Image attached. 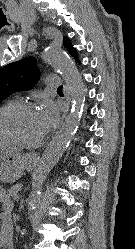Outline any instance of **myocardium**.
<instances>
[{
  "label": "myocardium",
  "mask_w": 135,
  "mask_h": 249,
  "mask_svg": "<svg viewBox=\"0 0 135 249\" xmlns=\"http://www.w3.org/2000/svg\"><path fill=\"white\" fill-rule=\"evenodd\" d=\"M33 109H35L34 103L23 102V101H15L3 107L0 110V137L12 144H16L27 148H34L42 144L44 140V135L36 141L29 142L18 138L16 135H14L11 132L6 131L2 125L3 118L10 112L18 110H33Z\"/></svg>",
  "instance_id": "f54148a6"
}]
</instances>
